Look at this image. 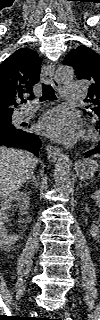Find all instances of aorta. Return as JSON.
Returning a JSON list of instances; mask_svg holds the SVG:
<instances>
[{
  "label": "aorta",
  "instance_id": "762f6f07",
  "mask_svg": "<svg viewBox=\"0 0 100 320\" xmlns=\"http://www.w3.org/2000/svg\"><path fill=\"white\" fill-rule=\"evenodd\" d=\"M56 78L60 82H69L74 78V69L71 66H59L56 70ZM54 180L57 189L61 193H68L71 188L70 157L62 154L54 168Z\"/></svg>",
  "mask_w": 100,
  "mask_h": 320
}]
</instances>
